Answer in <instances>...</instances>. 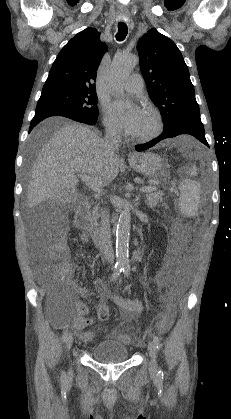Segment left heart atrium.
Wrapping results in <instances>:
<instances>
[{
    "label": "left heart atrium",
    "instance_id": "left-heart-atrium-1",
    "mask_svg": "<svg viewBox=\"0 0 231 419\" xmlns=\"http://www.w3.org/2000/svg\"><path fill=\"white\" fill-rule=\"evenodd\" d=\"M112 111L121 127L132 134L136 131L137 125L144 112L140 107H133L123 113L121 112L119 103L113 105Z\"/></svg>",
    "mask_w": 231,
    "mask_h": 419
}]
</instances>
